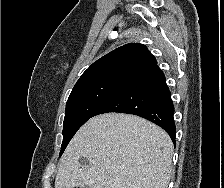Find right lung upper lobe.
<instances>
[{"instance_id":"obj_1","label":"right lung upper lobe","mask_w":224,"mask_h":188,"mask_svg":"<svg viewBox=\"0 0 224 188\" xmlns=\"http://www.w3.org/2000/svg\"><path fill=\"white\" fill-rule=\"evenodd\" d=\"M155 64L156 58L145 45L129 43L94 62L76 84L112 77L134 79Z\"/></svg>"}]
</instances>
